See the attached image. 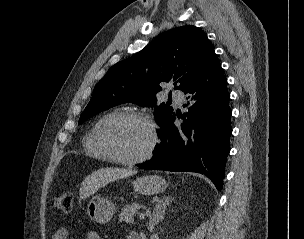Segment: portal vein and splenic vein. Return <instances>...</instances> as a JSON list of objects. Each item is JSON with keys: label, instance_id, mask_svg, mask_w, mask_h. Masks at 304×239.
Returning <instances> with one entry per match:
<instances>
[{"label": "portal vein and splenic vein", "instance_id": "18ae733b", "mask_svg": "<svg viewBox=\"0 0 304 239\" xmlns=\"http://www.w3.org/2000/svg\"><path fill=\"white\" fill-rule=\"evenodd\" d=\"M144 218H145V213H140V214H139V219H140V220H143Z\"/></svg>", "mask_w": 304, "mask_h": 239}]
</instances>
